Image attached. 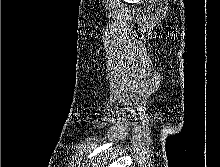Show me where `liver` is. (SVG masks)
Segmentation results:
<instances>
[{"instance_id": "6515ba94", "label": "liver", "mask_w": 220, "mask_h": 167, "mask_svg": "<svg viewBox=\"0 0 220 167\" xmlns=\"http://www.w3.org/2000/svg\"><path fill=\"white\" fill-rule=\"evenodd\" d=\"M98 167H107V162L104 160Z\"/></svg>"}]
</instances>
